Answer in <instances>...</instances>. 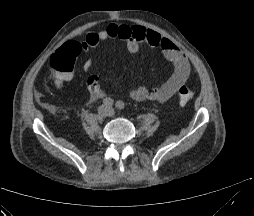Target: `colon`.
I'll use <instances>...</instances> for the list:
<instances>
[{"mask_svg": "<svg viewBox=\"0 0 254 216\" xmlns=\"http://www.w3.org/2000/svg\"><path fill=\"white\" fill-rule=\"evenodd\" d=\"M82 46L79 43L73 45V54L81 52ZM50 73H67L73 70V60L65 51H59L48 63ZM193 97V91L187 87L182 86L178 90V101L181 105L187 104Z\"/></svg>", "mask_w": 254, "mask_h": 216, "instance_id": "colon-1", "label": "colon"}]
</instances>
